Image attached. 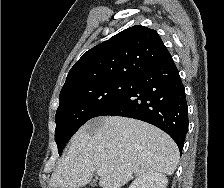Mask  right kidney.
Wrapping results in <instances>:
<instances>
[{
  "mask_svg": "<svg viewBox=\"0 0 224 188\" xmlns=\"http://www.w3.org/2000/svg\"><path fill=\"white\" fill-rule=\"evenodd\" d=\"M168 179L159 172H151L138 176L129 188H166Z\"/></svg>",
  "mask_w": 224,
  "mask_h": 188,
  "instance_id": "obj_1",
  "label": "right kidney"
}]
</instances>
